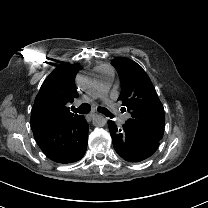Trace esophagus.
Wrapping results in <instances>:
<instances>
[{"label":"esophagus","mask_w":208,"mask_h":208,"mask_svg":"<svg viewBox=\"0 0 208 208\" xmlns=\"http://www.w3.org/2000/svg\"><path fill=\"white\" fill-rule=\"evenodd\" d=\"M95 116H97L96 113H91V114H88V115L86 116V118H87V120L90 121V120L94 119Z\"/></svg>","instance_id":"1"}]
</instances>
